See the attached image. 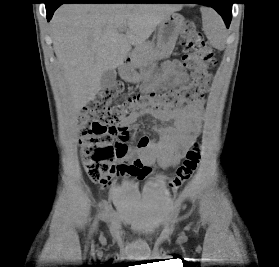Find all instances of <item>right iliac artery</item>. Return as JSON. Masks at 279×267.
<instances>
[{"mask_svg": "<svg viewBox=\"0 0 279 267\" xmlns=\"http://www.w3.org/2000/svg\"><path fill=\"white\" fill-rule=\"evenodd\" d=\"M95 225H96V222H95L94 225H93V229H94ZM91 232H92V231H91Z\"/></svg>", "mask_w": 279, "mask_h": 267, "instance_id": "obj_1", "label": "right iliac artery"}]
</instances>
